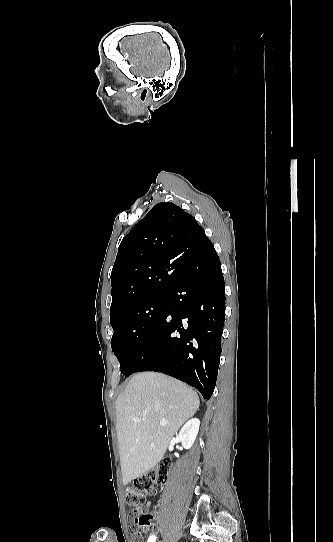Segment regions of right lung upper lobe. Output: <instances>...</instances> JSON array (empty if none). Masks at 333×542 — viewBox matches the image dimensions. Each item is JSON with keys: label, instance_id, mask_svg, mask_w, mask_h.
Returning a JSON list of instances; mask_svg holds the SVG:
<instances>
[{"label": "right lung upper lobe", "instance_id": "cb5924a9", "mask_svg": "<svg viewBox=\"0 0 333 542\" xmlns=\"http://www.w3.org/2000/svg\"><path fill=\"white\" fill-rule=\"evenodd\" d=\"M204 243L211 242L192 215L173 203L156 204L119 245L110 318L168 294L183 278L177 254Z\"/></svg>", "mask_w": 333, "mask_h": 542}]
</instances>
